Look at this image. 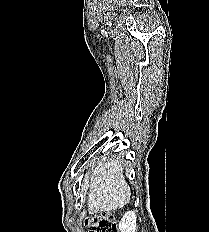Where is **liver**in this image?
<instances>
[{
    "instance_id": "obj_1",
    "label": "liver",
    "mask_w": 209,
    "mask_h": 232,
    "mask_svg": "<svg viewBox=\"0 0 209 232\" xmlns=\"http://www.w3.org/2000/svg\"><path fill=\"white\" fill-rule=\"evenodd\" d=\"M87 182L88 211L99 213L115 211L124 207L130 200V187L125 181L123 167L118 160L99 162L92 168V174Z\"/></svg>"
}]
</instances>
